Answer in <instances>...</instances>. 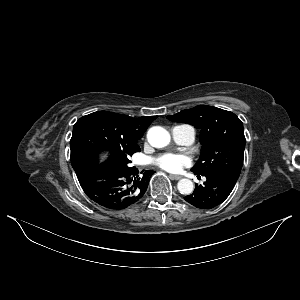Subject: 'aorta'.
<instances>
[{"label":"aorta","mask_w":300,"mask_h":300,"mask_svg":"<svg viewBox=\"0 0 300 300\" xmlns=\"http://www.w3.org/2000/svg\"><path fill=\"white\" fill-rule=\"evenodd\" d=\"M147 139L151 146L163 148L170 142V134L160 126L151 127L147 133ZM178 191L183 195H190L194 190V184L190 179H181L177 184Z\"/></svg>","instance_id":"obj_1"}]
</instances>
